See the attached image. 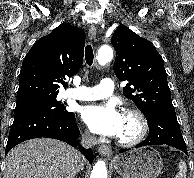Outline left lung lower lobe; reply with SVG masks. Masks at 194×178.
I'll list each match as a JSON object with an SVG mask.
<instances>
[{
	"mask_svg": "<svg viewBox=\"0 0 194 178\" xmlns=\"http://www.w3.org/2000/svg\"><path fill=\"white\" fill-rule=\"evenodd\" d=\"M144 115L149 125V135L135 147L166 144L188 155L174 108L152 109ZM125 151L127 149H121L120 153Z\"/></svg>",
	"mask_w": 194,
	"mask_h": 178,
	"instance_id": "left-lung-lower-lobe-1",
	"label": "left lung lower lobe"
}]
</instances>
